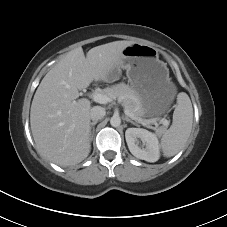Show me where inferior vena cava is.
<instances>
[{"instance_id": "1", "label": "inferior vena cava", "mask_w": 227, "mask_h": 227, "mask_svg": "<svg viewBox=\"0 0 227 227\" xmlns=\"http://www.w3.org/2000/svg\"><path fill=\"white\" fill-rule=\"evenodd\" d=\"M105 114H106L105 109L101 106H94L90 110V118L93 121H98V120L102 119L105 116Z\"/></svg>"}]
</instances>
